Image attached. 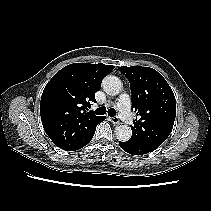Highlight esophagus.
I'll use <instances>...</instances> for the list:
<instances>
[{
    "label": "esophagus",
    "mask_w": 211,
    "mask_h": 211,
    "mask_svg": "<svg viewBox=\"0 0 211 211\" xmlns=\"http://www.w3.org/2000/svg\"><path fill=\"white\" fill-rule=\"evenodd\" d=\"M111 121L113 124H119L120 123V119L119 117L115 116L111 118Z\"/></svg>",
    "instance_id": "obj_1"
}]
</instances>
